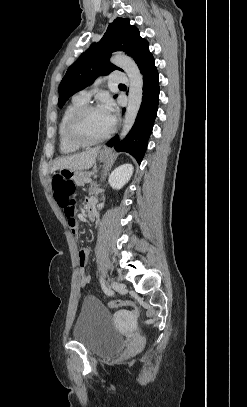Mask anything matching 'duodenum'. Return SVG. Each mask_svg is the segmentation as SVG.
<instances>
[{
    "label": "duodenum",
    "mask_w": 247,
    "mask_h": 407,
    "mask_svg": "<svg viewBox=\"0 0 247 407\" xmlns=\"http://www.w3.org/2000/svg\"><path fill=\"white\" fill-rule=\"evenodd\" d=\"M86 215H87V218H88L89 220H91V221H93V220L95 219L96 210H95V207H94L92 201H88V202H87V205H86Z\"/></svg>",
    "instance_id": "410a0bca"
}]
</instances>
